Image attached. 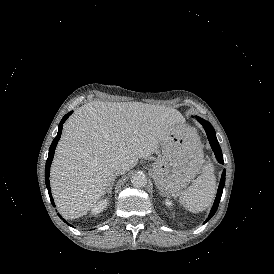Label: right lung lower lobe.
Returning <instances> with one entry per match:
<instances>
[{
    "label": "right lung lower lobe",
    "instance_id": "right-lung-lower-lobe-1",
    "mask_svg": "<svg viewBox=\"0 0 274 274\" xmlns=\"http://www.w3.org/2000/svg\"><path fill=\"white\" fill-rule=\"evenodd\" d=\"M71 113L72 112L66 114L62 118L61 122L59 123L58 134H57V136L55 137V139L53 140V142H52V144L50 146V150H49V154H48V159H47L46 166H45V182H46V186H47V189H48L50 200H51V203H52L53 206H55V204H54V201H53V198H52V195H51L50 184H49L50 165H51V162H52V159H53V155H54V151H55L56 145H57V143H58V141L60 139V136H61L62 125H63V123L69 117V115ZM63 221L65 223H67L64 219H63Z\"/></svg>",
    "mask_w": 274,
    "mask_h": 274
}]
</instances>
